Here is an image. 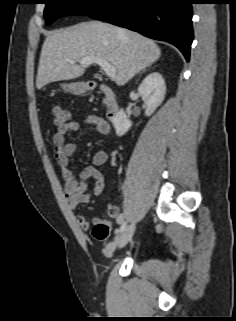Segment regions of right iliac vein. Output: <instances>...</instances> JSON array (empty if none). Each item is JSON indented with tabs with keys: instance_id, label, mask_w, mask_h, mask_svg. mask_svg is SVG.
Instances as JSON below:
<instances>
[{
	"instance_id": "obj_1",
	"label": "right iliac vein",
	"mask_w": 236,
	"mask_h": 321,
	"mask_svg": "<svg viewBox=\"0 0 236 321\" xmlns=\"http://www.w3.org/2000/svg\"><path fill=\"white\" fill-rule=\"evenodd\" d=\"M134 232H135V223H132L123 231V233L117 239V246L119 248L125 247L128 244V242L131 240Z\"/></svg>"
}]
</instances>
